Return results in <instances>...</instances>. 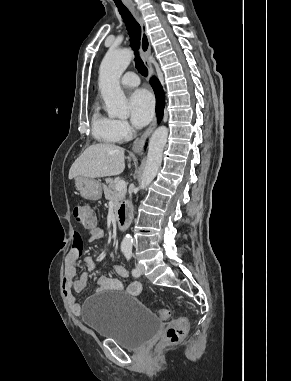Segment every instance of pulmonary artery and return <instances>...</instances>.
I'll list each match as a JSON object with an SVG mask.
<instances>
[{
  "instance_id": "obj_1",
  "label": "pulmonary artery",
  "mask_w": 291,
  "mask_h": 381,
  "mask_svg": "<svg viewBox=\"0 0 291 381\" xmlns=\"http://www.w3.org/2000/svg\"><path fill=\"white\" fill-rule=\"evenodd\" d=\"M121 83L125 87L134 88L139 85L140 80L134 72H127L122 76Z\"/></svg>"
}]
</instances>
